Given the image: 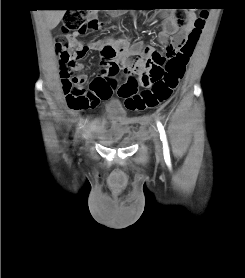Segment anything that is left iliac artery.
I'll return each mask as SVG.
<instances>
[{
	"label": "left iliac artery",
	"mask_w": 245,
	"mask_h": 278,
	"mask_svg": "<svg viewBox=\"0 0 245 278\" xmlns=\"http://www.w3.org/2000/svg\"><path fill=\"white\" fill-rule=\"evenodd\" d=\"M157 127H158V130L160 133V139L163 143V153H164L165 162L170 163V154H169V149H168V144H167L164 127L159 121L157 122Z\"/></svg>",
	"instance_id": "left-iliac-artery-1"
}]
</instances>
